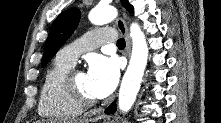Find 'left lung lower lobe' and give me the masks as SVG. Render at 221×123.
<instances>
[{
	"instance_id": "left-lung-lower-lobe-1",
	"label": "left lung lower lobe",
	"mask_w": 221,
	"mask_h": 123,
	"mask_svg": "<svg viewBox=\"0 0 221 123\" xmlns=\"http://www.w3.org/2000/svg\"><path fill=\"white\" fill-rule=\"evenodd\" d=\"M116 111V103L113 102L106 110L105 113L112 114Z\"/></svg>"
}]
</instances>
